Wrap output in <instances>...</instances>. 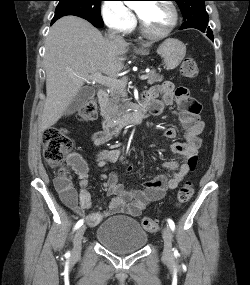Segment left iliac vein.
Listing matches in <instances>:
<instances>
[{"label": "left iliac vein", "instance_id": "obj_1", "mask_svg": "<svg viewBox=\"0 0 250 285\" xmlns=\"http://www.w3.org/2000/svg\"><path fill=\"white\" fill-rule=\"evenodd\" d=\"M172 232L168 226L163 229L164 250L163 257L165 259L172 258Z\"/></svg>", "mask_w": 250, "mask_h": 285}]
</instances>
